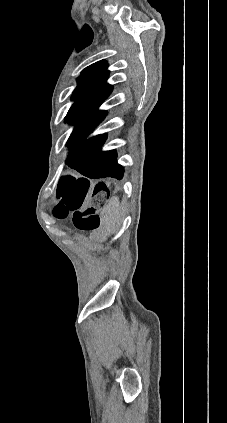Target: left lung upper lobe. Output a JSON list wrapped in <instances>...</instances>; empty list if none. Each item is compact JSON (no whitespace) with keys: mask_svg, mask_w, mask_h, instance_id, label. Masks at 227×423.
I'll use <instances>...</instances> for the list:
<instances>
[{"mask_svg":"<svg viewBox=\"0 0 227 423\" xmlns=\"http://www.w3.org/2000/svg\"><path fill=\"white\" fill-rule=\"evenodd\" d=\"M107 66L106 61L102 60L82 71L71 97L75 102L65 118L67 122L76 124L73 133L105 117L106 112L98 110V107L112 90V86L106 83L109 74Z\"/></svg>","mask_w":227,"mask_h":423,"instance_id":"1","label":"left lung upper lobe"}]
</instances>
